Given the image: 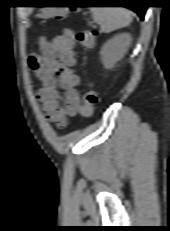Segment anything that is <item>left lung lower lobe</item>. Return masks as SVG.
<instances>
[{"label":"left lung lower lobe","instance_id":"0a47b994","mask_svg":"<svg viewBox=\"0 0 170 231\" xmlns=\"http://www.w3.org/2000/svg\"><path fill=\"white\" fill-rule=\"evenodd\" d=\"M127 4H130L128 7L129 9L135 11L139 17L141 18V20L144 19V14L146 11V6L142 5L141 0H130L128 2H126Z\"/></svg>","mask_w":170,"mask_h":231}]
</instances>
